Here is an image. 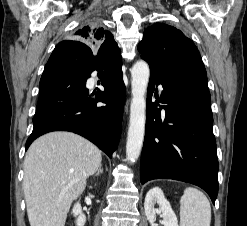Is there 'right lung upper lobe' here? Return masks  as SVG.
I'll return each instance as SVG.
<instances>
[{
    "mask_svg": "<svg viewBox=\"0 0 247 226\" xmlns=\"http://www.w3.org/2000/svg\"><path fill=\"white\" fill-rule=\"evenodd\" d=\"M74 39L86 45L100 47L99 50L112 54V60L122 62L121 52L113 35L100 25L89 24L81 27L74 33Z\"/></svg>",
    "mask_w": 247,
    "mask_h": 226,
    "instance_id": "cb5924a9",
    "label": "right lung upper lobe"
}]
</instances>
